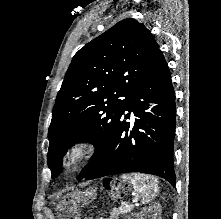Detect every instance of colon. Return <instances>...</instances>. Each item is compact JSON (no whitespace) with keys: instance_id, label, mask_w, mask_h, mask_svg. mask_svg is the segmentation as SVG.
I'll list each match as a JSON object with an SVG mask.
<instances>
[{"instance_id":"obj_1","label":"colon","mask_w":221,"mask_h":219,"mask_svg":"<svg viewBox=\"0 0 221 219\" xmlns=\"http://www.w3.org/2000/svg\"><path fill=\"white\" fill-rule=\"evenodd\" d=\"M64 219H81L73 209L62 210Z\"/></svg>"}]
</instances>
